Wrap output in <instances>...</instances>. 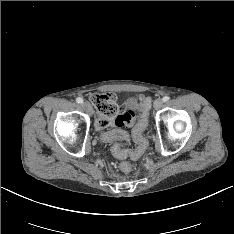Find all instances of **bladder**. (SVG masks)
<instances>
[{"mask_svg":"<svg viewBox=\"0 0 234 234\" xmlns=\"http://www.w3.org/2000/svg\"><path fill=\"white\" fill-rule=\"evenodd\" d=\"M136 106H137V103H136V100L134 98L128 99V101H127V108L129 110L135 112Z\"/></svg>","mask_w":234,"mask_h":234,"instance_id":"bladder-1","label":"bladder"}]
</instances>
